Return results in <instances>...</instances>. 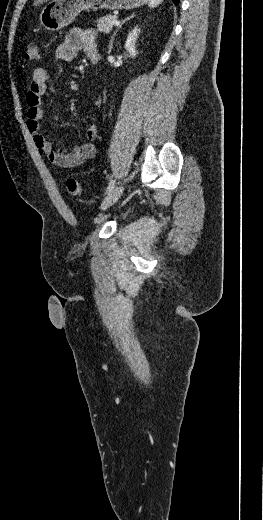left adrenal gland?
Returning <instances> with one entry per match:
<instances>
[{"label": "left adrenal gland", "instance_id": "a2214340", "mask_svg": "<svg viewBox=\"0 0 263 520\" xmlns=\"http://www.w3.org/2000/svg\"><path fill=\"white\" fill-rule=\"evenodd\" d=\"M135 16H136V14L133 13L131 16H129V17H127L126 19H124V20L122 21V23H121V24L117 27V29L114 31L113 35L111 36L110 43H109V44H110V45H109V52H111V50H112V48H113V40H114V37H115L116 33L119 31V29L122 27V25H123L126 21H128V20L134 18Z\"/></svg>", "mask_w": 263, "mask_h": 520}]
</instances>
